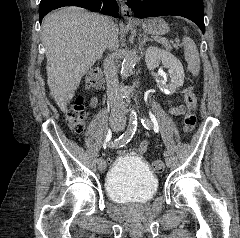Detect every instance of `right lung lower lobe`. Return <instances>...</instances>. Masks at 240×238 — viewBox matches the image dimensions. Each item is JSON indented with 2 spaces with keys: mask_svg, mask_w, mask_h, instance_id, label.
<instances>
[{
  "mask_svg": "<svg viewBox=\"0 0 240 238\" xmlns=\"http://www.w3.org/2000/svg\"><path fill=\"white\" fill-rule=\"evenodd\" d=\"M64 6H79L98 12L101 9L100 0H53L47 6L39 10V21L41 23L43 17L53 9ZM118 5L115 0H104L102 13L113 17H118Z\"/></svg>",
  "mask_w": 240,
  "mask_h": 238,
  "instance_id": "right-lung-lower-lobe-1",
  "label": "right lung lower lobe"
}]
</instances>
